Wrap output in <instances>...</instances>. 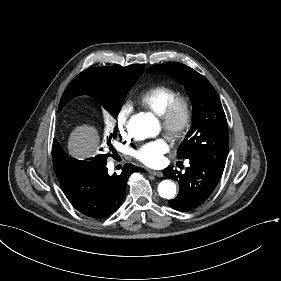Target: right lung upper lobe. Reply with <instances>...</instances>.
Wrapping results in <instances>:
<instances>
[{
	"mask_svg": "<svg viewBox=\"0 0 281 281\" xmlns=\"http://www.w3.org/2000/svg\"><path fill=\"white\" fill-rule=\"evenodd\" d=\"M143 65L96 67L81 72L62 95L59 108L71 98L88 94L98 99L126 96L144 71Z\"/></svg>",
	"mask_w": 281,
	"mask_h": 281,
	"instance_id": "right-lung-upper-lobe-1",
	"label": "right lung upper lobe"
}]
</instances>
